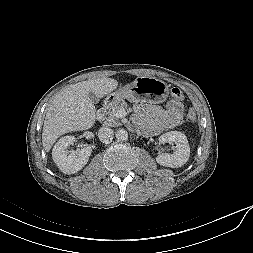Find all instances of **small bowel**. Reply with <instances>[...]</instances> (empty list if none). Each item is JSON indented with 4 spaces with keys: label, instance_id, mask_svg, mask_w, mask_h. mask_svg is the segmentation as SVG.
<instances>
[{
    "label": "small bowel",
    "instance_id": "1",
    "mask_svg": "<svg viewBox=\"0 0 253 253\" xmlns=\"http://www.w3.org/2000/svg\"><path fill=\"white\" fill-rule=\"evenodd\" d=\"M134 110V123L143 126L144 131L151 135L177 126L184 115L182 103L174 100L169 101L166 108L141 103Z\"/></svg>",
    "mask_w": 253,
    "mask_h": 253
}]
</instances>
